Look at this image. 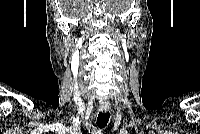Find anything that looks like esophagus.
<instances>
[{
  "label": "esophagus",
  "instance_id": "1",
  "mask_svg": "<svg viewBox=\"0 0 200 134\" xmlns=\"http://www.w3.org/2000/svg\"><path fill=\"white\" fill-rule=\"evenodd\" d=\"M99 108L102 112H107L110 109V104L109 103H102V104H100Z\"/></svg>",
  "mask_w": 200,
  "mask_h": 134
}]
</instances>
